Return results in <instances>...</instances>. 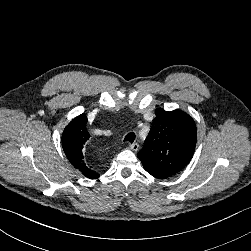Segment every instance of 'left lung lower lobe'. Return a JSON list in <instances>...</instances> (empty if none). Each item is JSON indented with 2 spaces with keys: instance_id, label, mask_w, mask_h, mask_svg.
Masks as SVG:
<instances>
[{
  "instance_id": "0a47b994",
  "label": "left lung lower lobe",
  "mask_w": 251,
  "mask_h": 251,
  "mask_svg": "<svg viewBox=\"0 0 251 251\" xmlns=\"http://www.w3.org/2000/svg\"><path fill=\"white\" fill-rule=\"evenodd\" d=\"M149 174H151L152 176H154L155 178H161V179H166L172 175L170 174H164V173H156V172H152V171H148L146 170Z\"/></svg>"
}]
</instances>
